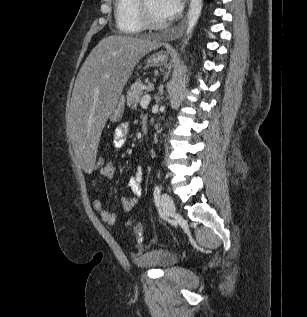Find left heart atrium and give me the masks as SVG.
Instances as JSON below:
<instances>
[{
  "instance_id": "1",
  "label": "left heart atrium",
  "mask_w": 307,
  "mask_h": 317,
  "mask_svg": "<svg viewBox=\"0 0 307 317\" xmlns=\"http://www.w3.org/2000/svg\"><path fill=\"white\" fill-rule=\"evenodd\" d=\"M159 12L167 17H172L178 14L182 9L181 0H157Z\"/></svg>"
}]
</instances>
